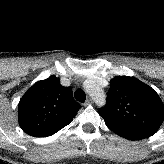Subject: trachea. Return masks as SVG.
<instances>
[{
  "label": "trachea",
  "mask_w": 164,
  "mask_h": 164,
  "mask_svg": "<svg viewBox=\"0 0 164 164\" xmlns=\"http://www.w3.org/2000/svg\"><path fill=\"white\" fill-rule=\"evenodd\" d=\"M74 97L77 101L83 103L86 100V95L82 89H77L74 93Z\"/></svg>",
  "instance_id": "1"
}]
</instances>
